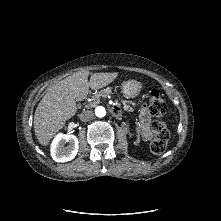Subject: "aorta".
<instances>
[{
    "label": "aorta",
    "instance_id": "762f6f07",
    "mask_svg": "<svg viewBox=\"0 0 221 221\" xmlns=\"http://www.w3.org/2000/svg\"><path fill=\"white\" fill-rule=\"evenodd\" d=\"M105 114H106V110H105L104 107H102V106L96 107V109H95V115H96L97 117L102 118V117L105 116Z\"/></svg>",
    "mask_w": 221,
    "mask_h": 221
}]
</instances>
